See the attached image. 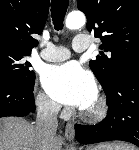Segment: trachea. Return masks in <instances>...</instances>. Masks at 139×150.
Segmentation results:
<instances>
[{
    "label": "trachea",
    "mask_w": 139,
    "mask_h": 150,
    "mask_svg": "<svg viewBox=\"0 0 139 150\" xmlns=\"http://www.w3.org/2000/svg\"><path fill=\"white\" fill-rule=\"evenodd\" d=\"M69 5L68 0H52L51 1V17L54 27L57 31L63 29V21Z\"/></svg>",
    "instance_id": "1"
}]
</instances>
